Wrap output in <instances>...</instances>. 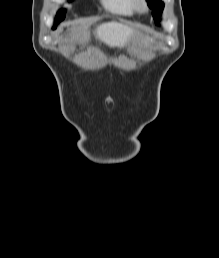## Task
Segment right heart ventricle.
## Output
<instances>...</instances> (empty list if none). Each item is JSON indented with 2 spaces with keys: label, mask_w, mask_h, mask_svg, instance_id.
<instances>
[{
  "label": "right heart ventricle",
  "mask_w": 219,
  "mask_h": 258,
  "mask_svg": "<svg viewBox=\"0 0 219 258\" xmlns=\"http://www.w3.org/2000/svg\"><path fill=\"white\" fill-rule=\"evenodd\" d=\"M103 9L110 14L122 17H133L140 10L138 0H100Z\"/></svg>",
  "instance_id": "e07e8e85"
}]
</instances>
